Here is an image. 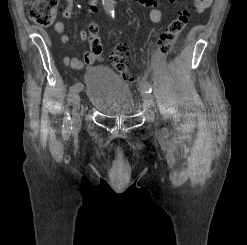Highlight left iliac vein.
Masks as SVG:
<instances>
[{"mask_svg":"<svg viewBox=\"0 0 247 245\" xmlns=\"http://www.w3.org/2000/svg\"><path fill=\"white\" fill-rule=\"evenodd\" d=\"M141 94H142L143 100L145 102V105L147 107L154 106V100H153L152 95H150L149 93H147L144 88L141 89Z\"/></svg>","mask_w":247,"mask_h":245,"instance_id":"1","label":"left iliac vein"}]
</instances>
